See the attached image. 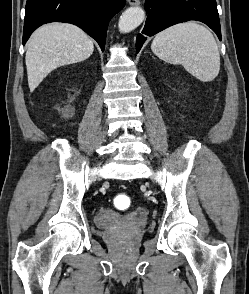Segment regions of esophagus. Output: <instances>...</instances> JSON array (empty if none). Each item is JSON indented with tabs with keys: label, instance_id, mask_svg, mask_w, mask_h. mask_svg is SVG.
Returning <instances> with one entry per match:
<instances>
[{
	"label": "esophagus",
	"instance_id": "1",
	"mask_svg": "<svg viewBox=\"0 0 249 294\" xmlns=\"http://www.w3.org/2000/svg\"><path fill=\"white\" fill-rule=\"evenodd\" d=\"M128 3L131 6H138L140 4V0H128Z\"/></svg>",
	"mask_w": 249,
	"mask_h": 294
}]
</instances>
